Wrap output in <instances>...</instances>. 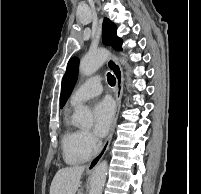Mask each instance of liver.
Wrapping results in <instances>:
<instances>
[{
  "instance_id": "liver-1",
  "label": "liver",
  "mask_w": 201,
  "mask_h": 194,
  "mask_svg": "<svg viewBox=\"0 0 201 194\" xmlns=\"http://www.w3.org/2000/svg\"><path fill=\"white\" fill-rule=\"evenodd\" d=\"M84 170L85 166L59 169L52 180L50 194H75Z\"/></svg>"
}]
</instances>
